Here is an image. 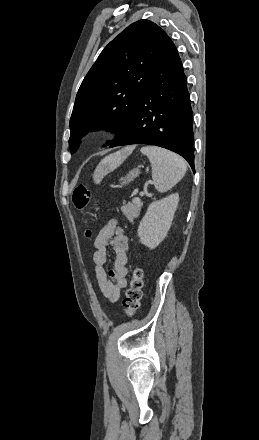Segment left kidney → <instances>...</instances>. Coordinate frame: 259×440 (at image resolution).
<instances>
[{"mask_svg":"<svg viewBox=\"0 0 259 440\" xmlns=\"http://www.w3.org/2000/svg\"><path fill=\"white\" fill-rule=\"evenodd\" d=\"M179 202V194L174 193L153 201L138 227L140 242L150 249L156 248L167 236Z\"/></svg>","mask_w":259,"mask_h":440,"instance_id":"1","label":"left kidney"}]
</instances>
